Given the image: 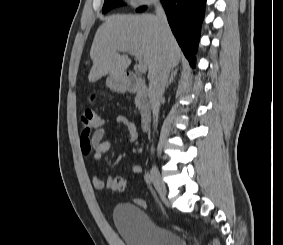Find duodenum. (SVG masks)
I'll return each mask as SVG.
<instances>
[{
    "mask_svg": "<svg viewBox=\"0 0 283 245\" xmlns=\"http://www.w3.org/2000/svg\"><path fill=\"white\" fill-rule=\"evenodd\" d=\"M121 88L127 92L135 93L140 108V124L143 130H148L151 124V106L148 99V89L145 82L132 72L124 75Z\"/></svg>",
    "mask_w": 283,
    "mask_h": 245,
    "instance_id": "1",
    "label": "duodenum"
}]
</instances>
